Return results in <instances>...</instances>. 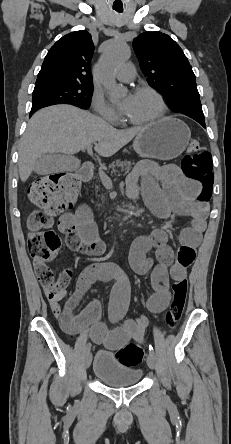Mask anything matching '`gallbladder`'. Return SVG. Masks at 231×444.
Listing matches in <instances>:
<instances>
[{
	"mask_svg": "<svg viewBox=\"0 0 231 444\" xmlns=\"http://www.w3.org/2000/svg\"><path fill=\"white\" fill-rule=\"evenodd\" d=\"M68 158V156L60 154L41 155L35 161L34 170L39 175L64 171L66 166L62 162Z\"/></svg>",
	"mask_w": 231,
	"mask_h": 444,
	"instance_id": "bac80fb5",
	"label": "gallbladder"
}]
</instances>
